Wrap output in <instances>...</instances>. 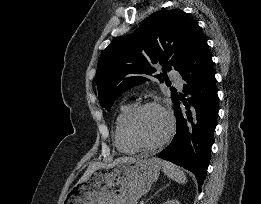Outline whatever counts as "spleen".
Masks as SVG:
<instances>
[{
    "label": "spleen",
    "mask_w": 261,
    "mask_h": 204,
    "mask_svg": "<svg viewBox=\"0 0 261 204\" xmlns=\"http://www.w3.org/2000/svg\"><path fill=\"white\" fill-rule=\"evenodd\" d=\"M162 166L165 175L170 179L180 184H185L187 182L186 175L184 174L183 170H181L178 166L168 161H164L162 163Z\"/></svg>",
    "instance_id": "obj_1"
}]
</instances>
